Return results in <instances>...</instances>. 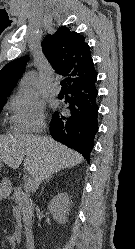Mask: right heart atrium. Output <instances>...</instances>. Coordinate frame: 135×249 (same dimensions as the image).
Wrapping results in <instances>:
<instances>
[{
    "mask_svg": "<svg viewBox=\"0 0 135 249\" xmlns=\"http://www.w3.org/2000/svg\"><path fill=\"white\" fill-rule=\"evenodd\" d=\"M11 123L16 133H38L45 126L44 107L37 101L15 95L9 102Z\"/></svg>",
    "mask_w": 135,
    "mask_h": 249,
    "instance_id": "obj_1",
    "label": "right heart atrium"
}]
</instances>
